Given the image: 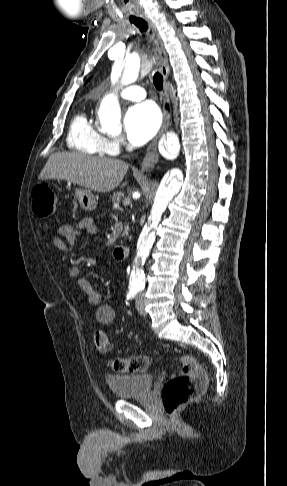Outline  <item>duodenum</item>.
Listing matches in <instances>:
<instances>
[{"label": "duodenum", "instance_id": "duodenum-1", "mask_svg": "<svg viewBox=\"0 0 287 486\" xmlns=\"http://www.w3.org/2000/svg\"><path fill=\"white\" fill-rule=\"evenodd\" d=\"M129 246L120 244L114 249V257L116 260H123L129 255Z\"/></svg>", "mask_w": 287, "mask_h": 486}]
</instances>
